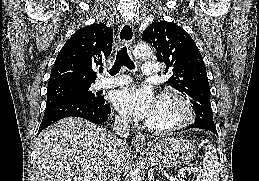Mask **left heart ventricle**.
I'll list each match as a JSON object with an SVG mask.
<instances>
[{"mask_svg":"<svg viewBox=\"0 0 259 181\" xmlns=\"http://www.w3.org/2000/svg\"><path fill=\"white\" fill-rule=\"evenodd\" d=\"M180 116V108L175 102L169 99H158L156 110L148 123L156 126L169 125L176 122Z\"/></svg>","mask_w":259,"mask_h":181,"instance_id":"left-heart-ventricle-1","label":"left heart ventricle"}]
</instances>
